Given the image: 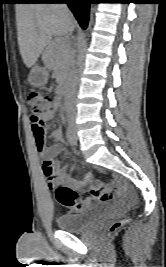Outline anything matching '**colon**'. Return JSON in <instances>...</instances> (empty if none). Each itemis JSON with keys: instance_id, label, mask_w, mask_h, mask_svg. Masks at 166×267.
<instances>
[{"instance_id": "1", "label": "colon", "mask_w": 166, "mask_h": 267, "mask_svg": "<svg viewBox=\"0 0 166 267\" xmlns=\"http://www.w3.org/2000/svg\"><path fill=\"white\" fill-rule=\"evenodd\" d=\"M28 103L31 106V110H32L31 118L36 122H39L41 116L45 114L46 112H48L49 110L53 109L55 106L54 101L49 95L43 94L38 91H32L29 93ZM38 142L40 145H43L44 143V131L41 128H39V131H38ZM43 169H44V172L49 176H52L55 172L54 166L52 162L49 160L44 161ZM85 179H88V175L85 176ZM92 192H113L114 193V190L107 189L106 191H103L101 189V191H94V188H93ZM56 199L64 207H72L77 210H80L85 207L84 201L78 198L77 193L73 189L66 187V186H60L56 189ZM125 222L126 220H120V221L115 222L109 228L108 233L111 234L115 232Z\"/></svg>"}]
</instances>
